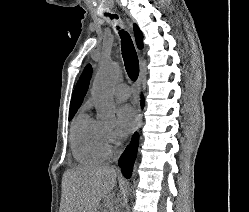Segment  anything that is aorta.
<instances>
[{
    "label": "aorta",
    "instance_id": "1",
    "mask_svg": "<svg viewBox=\"0 0 249 212\" xmlns=\"http://www.w3.org/2000/svg\"><path fill=\"white\" fill-rule=\"evenodd\" d=\"M119 76L120 67L113 61L102 62L95 76L91 93L98 118L102 121H111L115 117L113 88Z\"/></svg>",
    "mask_w": 249,
    "mask_h": 212
}]
</instances>
